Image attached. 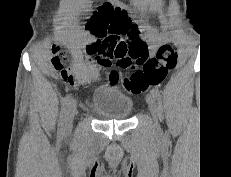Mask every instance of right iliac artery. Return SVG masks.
Listing matches in <instances>:
<instances>
[{
	"label": "right iliac artery",
	"instance_id": "1",
	"mask_svg": "<svg viewBox=\"0 0 231 177\" xmlns=\"http://www.w3.org/2000/svg\"><path fill=\"white\" fill-rule=\"evenodd\" d=\"M70 99H71V96L67 95L62 102L60 118H59V123H58V131L60 134H63L64 129H65L66 113L68 110V106L70 104Z\"/></svg>",
	"mask_w": 231,
	"mask_h": 177
}]
</instances>
